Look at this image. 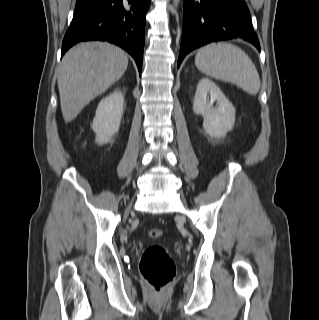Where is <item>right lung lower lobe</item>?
<instances>
[{
	"label": "right lung lower lobe",
	"instance_id": "98d812e1",
	"mask_svg": "<svg viewBox=\"0 0 319 320\" xmlns=\"http://www.w3.org/2000/svg\"><path fill=\"white\" fill-rule=\"evenodd\" d=\"M149 5L150 0H77L63 39L62 55L77 42L106 40L130 53L141 74Z\"/></svg>",
	"mask_w": 319,
	"mask_h": 320
}]
</instances>
